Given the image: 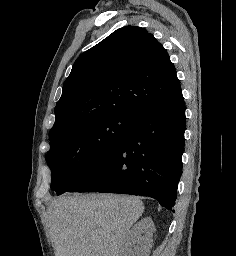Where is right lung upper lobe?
<instances>
[{"label": "right lung upper lobe", "instance_id": "cb5924a9", "mask_svg": "<svg viewBox=\"0 0 236 256\" xmlns=\"http://www.w3.org/2000/svg\"><path fill=\"white\" fill-rule=\"evenodd\" d=\"M180 89L162 44L144 28H119L75 61L49 135L106 116L138 119Z\"/></svg>", "mask_w": 236, "mask_h": 256}]
</instances>
